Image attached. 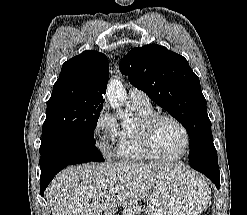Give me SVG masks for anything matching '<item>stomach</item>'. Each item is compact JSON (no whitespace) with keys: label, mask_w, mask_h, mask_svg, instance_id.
<instances>
[{"label":"stomach","mask_w":247,"mask_h":215,"mask_svg":"<svg viewBox=\"0 0 247 215\" xmlns=\"http://www.w3.org/2000/svg\"><path fill=\"white\" fill-rule=\"evenodd\" d=\"M210 199L206 180L198 173L184 169L170 176L149 197L146 215H199Z\"/></svg>","instance_id":"0dacf381"}]
</instances>
